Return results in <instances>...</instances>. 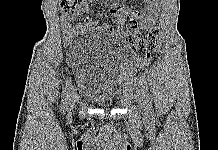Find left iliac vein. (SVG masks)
<instances>
[{
	"label": "left iliac vein",
	"mask_w": 218,
	"mask_h": 150,
	"mask_svg": "<svg viewBox=\"0 0 218 150\" xmlns=\"http://www.w3.org/2000/svg\"><path fill=\"white\" fill-rule=\"evenodd\" d=\"M137 102H138L139 110L141 111L142 115L147 116L149 113L148 108L146 105V101L141 94L137 95Z\"/></svg>",
	"instance_id": "1"
}]
</instances>
